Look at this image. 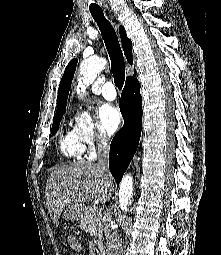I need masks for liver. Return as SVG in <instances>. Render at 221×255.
<instances>
[{
	"label": "liver",
	"mask_w": 221,
	"mask_h": 255,
	"mask_svg": "<svg viewBox=\"0 0 221 255\" xmlns=\"http://www.w3.org/2000/svg\"><path fill=\"white\" fill-rule=\"evenodd\" d=\"M113 190L111 176L90 162H77L58 167L48 176L45 197L53 223L59 224L60 216L68 205L84 204L93 199L105 204Z\"/></svg>",
	"instance_id": "1"
}]
</instances>
